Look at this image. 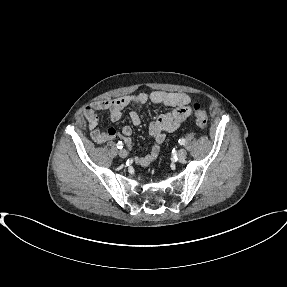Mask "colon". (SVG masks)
<instances>
[{
    "label": "colon",
    "mask_w": 287,
    "mask_h": 287,
    "mask_svg": "<svg viewBox=\"0 0 287 287\" xmlns=\"http://www.w3.org/2000/svg\"><path fill=\"white\" fill-rule=\"evenodd\" d=\"M193 114L196 124L200 129H205L208 124V114L206 109L199 103L193 104Z\"/></svg>",
    "instance_id": "5ec220e1"
}]
</instances>
